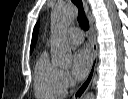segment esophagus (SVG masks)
<instances>
[{
	"instance_id": "esophagus-1",
	"label": "esophagus",
	"mask_w": 128,
	"mask_h": 99,
	"mask_svg": "<svg viewBox=\"0 0 128 99\" xmlns=\"http://www.w3.org/2000/svg\"><path fill=\"white\" fill-rule=\"evenodd\" d=\"M83 5H84L86 14H89L90 8H89L88 2L86 0H83ZM91 49H92V61H91L89 72H88L85 80L81 83V85L75 91L73 99H82L83 98V96L89 89V87L92 83L94 74H95L98 47H97V42H96V38H95V34H94L93 30L91 31Z\"/></svg>"
}]
</instances>
